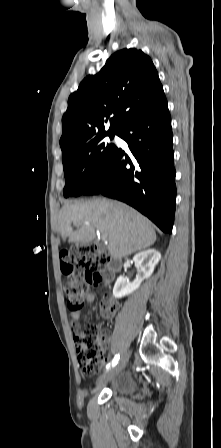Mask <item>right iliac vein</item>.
I'll list each match as a JSON object with an SVG mask.
<instances>
[{
    "label": "right iliac vein",
    "mask_w": 221,
    "mask_h": 448,
    "mask_svg": "<svg viewBox=\"0 0 221 448\" xmlns=\"http://www.w3.org/2000/svg\"><path fill=\"white\" fill-rule=\"evenodd\" d=\"M128 359H129V352L126 351L122 355L120 361L112 369H110L108 372L103 374V378L104 379L112 378V377L118 375L125 368V366L128 362Z\"/></svg>",
    "instance_id": "63e3f726"
}]
</instances>
